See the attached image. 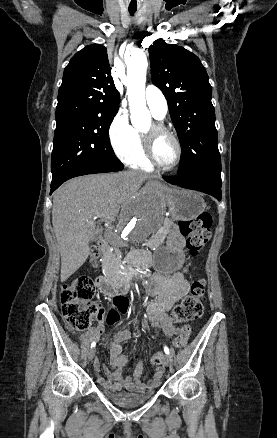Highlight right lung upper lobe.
Here are the masks:
<instances>
[{"instance_id":"right-lung-upper-lobe-1","label":"right lung upper lobe","mask_w":277,"mask_h":438,"mask_svg":"<svg viewBox=\"0 0 277 438\" xmlns=\"http://www.w3.org/2000/svg\"><path fill=\"white\" fill-rule=\"evenodd\" d=\"M119 102L106 48L92 44L76 53L64 70L56 116H115Z\"/></svg>"}]
</instances>
